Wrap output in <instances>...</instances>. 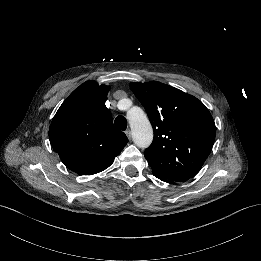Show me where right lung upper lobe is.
<instances>
[{
    "mask_svg": "<svg viewBox=\"0 0 261 261\" xmlns=\"http://www.w3.org/2000/svg\"><path fill=\"white\" fill-rule=\"evenodd\" d=\"M109 89L95 81L83 83L63 102L50 125L53 149L78 174L105 170L128 142L105 106Z\"/></svg>",
    "mask_w": 261,
    "mask_h": 261,
    "instance_id": "1",
    "label": "right lung upper lobe"
}]
</instances>
